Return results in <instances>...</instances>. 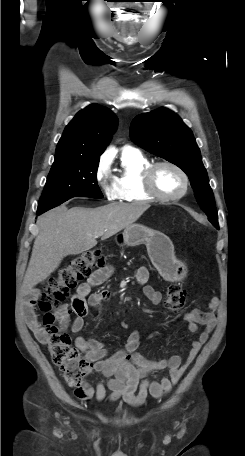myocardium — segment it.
Returning <instances> with one entry per match:
<instances>
[{
    "mask_svg": "<svg viewBox=\"0 0 245 456\" xmlns=\"http://www.w3.org/2000/svg\"><path fill=\"white\" fill-rule=\"evenodd\" d=\"M160 166H169L176 170L180 176L183 179V189L180 193L176 195H164L160 193L156 186H155V181H154V176L156 170ZM142 183H143V188L145 192L152 197L153 199L163 201V202H172V201H177L182 199L188 192L189 189V178L186 172L176 163L168 161V160H162V161H157L150 163L142 173Z\"/></svg>",
    "mask_w": 245,
    "mask_h": 456,
    "instance_id": "obj_1",
    "label": "myocardium"
}]
</instances>
